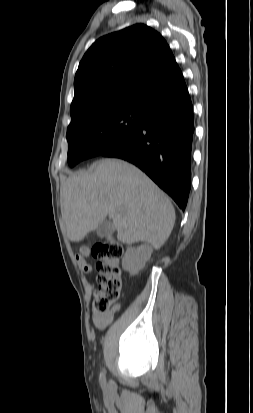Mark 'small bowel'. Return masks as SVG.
<instances>
[{
  "mask_svg": "<svg viewBox=\"0 0 253 413\" xmlns=\"http://www.w3.org/2000/svg\"><path fill=\"white\" fill-rule=\"evenodd\" d=\"M90 251L87 247H81L79 253L76 255V262L81 271L89 273L92 271V265L88 261ZM120 306L118 304L112 306L111 310L104 315H93L92 322L94 326L102 330L107 327L114 319L115 315L118 313Z\"/></svg>",
  "mask_w": 253,
  "mask_h": 413,
  "instance_id": "small-bowel-1",
  "label": "small bowel"
}]
</instances>
